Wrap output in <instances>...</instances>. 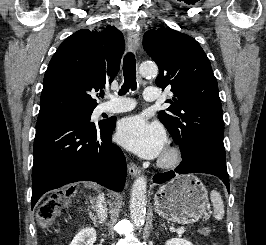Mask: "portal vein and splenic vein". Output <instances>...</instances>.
<instances>
[{
    "mask_svg": "<svg viewBox=\"0 0 266 245\" xmlns=\"http://www.w3.org/2000/svg\"><path fill=\"white\" fill-rule=\"evenodd\" d=\"M177 233L178 235H182V233H184V229H178Z\"/></svg>",
    "mask_w": 266,
    "mask_h": 245,
    "instance_id": "obj_1",
    "label": "portal vein and splenic vein"
}]
</instances>
